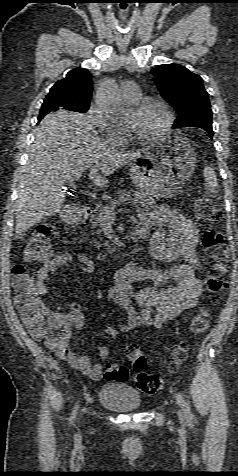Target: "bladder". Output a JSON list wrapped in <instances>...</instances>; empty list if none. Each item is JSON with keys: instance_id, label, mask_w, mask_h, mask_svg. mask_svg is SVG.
<instances>
[{"instance_id": "bladder-1", "label": "bladder", "mask_w": 238, "mask_h": 476, "mask_svg": "<svg viewBox=\"0 0 238 476\" xmlns=\"http://www.w3.org/2000/svg\"><path fill=\"white\" fill-rule=\"evenodd\" d=\"M99 402L112 411L131 412L140 408L141 397L132 387L120 383H108L99 392Z\"/></svg>"}]
</instances>
